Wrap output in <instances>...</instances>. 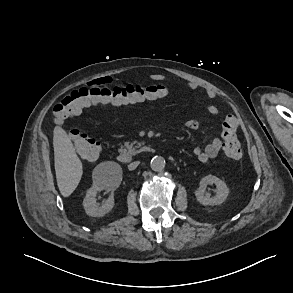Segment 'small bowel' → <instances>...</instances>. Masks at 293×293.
<instances>
[{
	"label": "small bowel",
	"instance_id": "small-bowel-1",
	"mask_svg": "<svg viewBox=\"0 0 293 293\" xmlns=\"http://www.w3.org/2000/svg\"><path fill=\"white\" fill-rule=\"evenodd\" d=\"M150 80L152 81H159V82H162V81H166L167 80V77L165 75H162V74H152L150 77H149ZM96 81H109L108 78H100ZM158 86H161L163 88V90L165 91V94L161 97H158V98H152V99H149V100H146V101H154L156 99H159V98H162L164 96H166L167 94V89L165 86L161 85V84H158ZM187 86L190 88V89H197L199 87V85L195 82H187ZM205 95L208 99L210 100H214L213 103H210L207 105V110L210 114L212 115H217L219 113V105L218 103L216 102V99H217V94L214 90L212 89H206L205 91ZM146 101H140V102H135V103H131L130 105H136V104H140V103H143V102H146ZM90 107V106H88ZM118 107V106H117ZM185 127L187 129H190V130H196L200 127V122L198 120H195V119H189L185 122ZM222 147H223V142L220 138H213L209 141V143L204 147V148H201V147H195L193 149V154L195 155V157L202 163H207L208 161H210L211 159H214L216 158L219 153L221 152L222 150Z\"/></svg>",
	"mask_w": 293,
	"mask_h": 293
}]
</instances>
